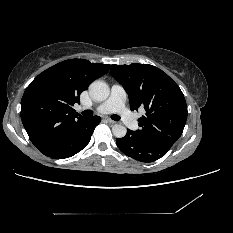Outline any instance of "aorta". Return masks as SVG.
I'll use <instances>...</instances> for the list:
<instances>
[{
    "instance_id": "aorta-1",
    "label": "aorta",
    "mask_w": 233,
    "mask_h": 233,
    "mask_svg": "<svg viewBox=\"0 0 233 233\" xmlns=\"http://www.w3.org/2000/svg\"><path fill=\"white\" fill-rule=\"evenodd\" d=\"M89 93L94 100L104 101L108 98L110 94V89H109V86L105 82L96 80L90 84ZM112 132L115 137L122 138L126 135L127 129L126 127L120 124H115L112 127Z\"/></svg>"
}]
</instances>
